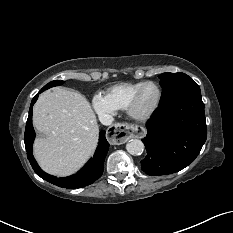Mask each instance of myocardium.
<instances>
[{"instance_id":"myocardium-1","label":"myocardium","mask_w":233,"mask_h":233,"mask_svg":"<svg viewBox=\"0 0 233 233\" xmlns=\"http://www.w3.org/2000/svg\"><path fill=\"white\" fill-rule=\"evenodd\" d=\"M148 85H153L156 87L157 92H158L157 100H156L155 104L150 109H148L147 111L141 112L138 110L140 96H141L143 89ZM161 100H162L161 87L156 82L146 81L135 91V93L133 94L126 110H127V113L129 114V116L132 117L134 120L146 121L158 109V107L161 103Z\"/></svg>"}]
</instances>
